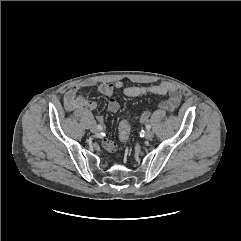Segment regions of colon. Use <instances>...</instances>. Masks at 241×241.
Wrapping results in <instances>:
<instances>
[{"label": "colon", "instance_id": "5ec220e1", "mask_svg": "<svg viewBox=\"0 0 241 241\" xmlns=\"http://www.w3.org/2000/svg\"><path fill=\"white\" fill-rule=\"evenodd\" d=\"M130 129L131 126L127 115L119 124V138L122 142L126 143L128 141Z\"/></svg>", "mask_w": 241, "mask_h": 241}]
</instances>
